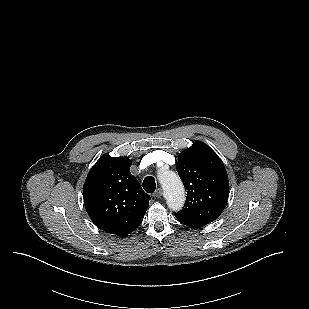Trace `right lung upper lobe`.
Wrapping results in <instances>:
<instances>
[{
  "mask_svg": "<svg viewBox=\"0 0 309 309\" xmlns=\"http://www.w3.org/2000/svg\"><path fill=\"white\" fill-rule=\"evenodd\" d=\"M125 157L103 155L83 187L84 204L93 223L107 233L125 236L142 222L150 196L130 173Z\"/></svg>",
  "mask_w": 309,
  "mask_h": 309,
  "instance_id": "1",
  "label": "right lung upper lobe"
}]
</instances>
